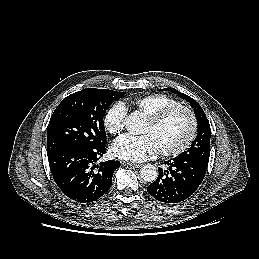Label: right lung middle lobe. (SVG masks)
<instances>
[{
    "label": "right lung middle lobe",
    "mask_w": 259,
    "mask_h": 259,
    "mask_svg": "<svg viewBox=\"0 0 259 259\" xmlns=\"http://www.w3.org/2000/svg\"><path fill=\"white\" fill-rule=\"evenodd\" d=\"M124 92L87 88L56 107L47 127V153L63 146L99 148L106 145L103 117Z\"/></svg>",
    "instance_id": "right-lung-middle-lobe-1"
}]
</instances>
